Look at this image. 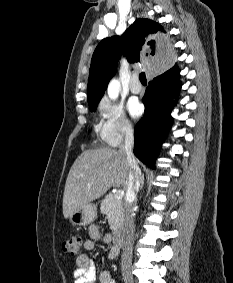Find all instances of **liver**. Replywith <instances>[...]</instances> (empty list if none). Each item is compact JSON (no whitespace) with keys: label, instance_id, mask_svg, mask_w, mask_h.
Here are the masks:
<instances>
[{"label":"liver","instance_id":"liver-1","mask_svg":"<svg viewBox=\"0 0 233 283\" xmlns=\"http://www.w3.org/2000/svg\"><path fill=\"white\" fill-rule=\"evenodd\" d=\"M129 164L124 153L113 149L82 152L72 165L63 195V215L103 196L112 186L127 189Z\"/></svg>","mask_w":233,"mask_h":283}]
</instances>
